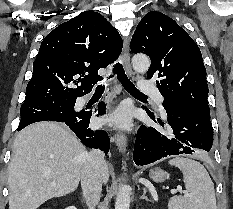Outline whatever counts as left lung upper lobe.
Segmentation results:
<instances>
[{
	"label": "left lung upper lobe",
	"instance_id": "1",
	"mask_svg": "<svg viewBox=\"0 0 233 209\" xmlns=\"http://www.w3.org/2000/svg\"><path fill=\"white\" fill-rule=\"evenodd\" d=\"M130 48L150 57L147 79L157 78L165 110L187 109L210 119L202 54L173 19L157 11L147 13L133 34Z\"/></svg>",
	"mask_w": 233,
	"mask_h": 209
}]
</instances>
